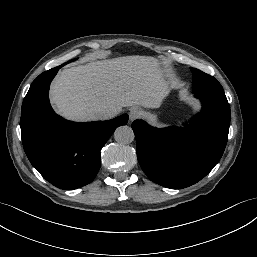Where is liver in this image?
<instances>
[{"label":"liver","instance_id":"obj_1","mask_svg":"<svg viewBox=\"0 0 257 257\" xmlns=\"http://www.w3.org/2000/svg\"><path fill=\"white\" fill-rule=\"evenodd\" d=\"M168 91L157 59L132 55L63 70L51 85L50 98L63 117L91 121L99 109L158 107Z\"/></svg>","mask_w":257,"mask_h":257}]
</instances>
